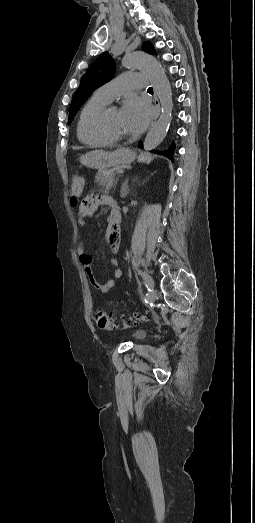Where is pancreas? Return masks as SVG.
<instances>
[{"instance_id": "1", "label": "pancreas", "mask_w": 255, "mask_h": 523, "mask_svg": "<svg viewBox=\"0 0 255 523\" xmlns=\"http://www.w3.org/2000/svg\"><path fill=\"white\" fill-rule=\"evenodd\" d=\"M115 176H116V170H111V172H98L96 174V184H99V186H104L106 194H108L109 190L115 186Z\"/></svg>"}]
</instances>
